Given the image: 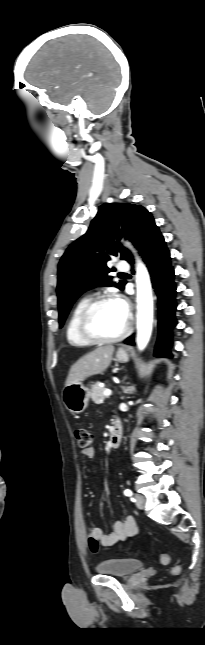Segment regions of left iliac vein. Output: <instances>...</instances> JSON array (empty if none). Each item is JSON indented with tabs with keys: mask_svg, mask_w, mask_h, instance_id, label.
I'll list each match as a JSON object with an SVG mask.
<instances>
[{
	"mask_svg": "<svg viewBox=\"0 0 205 645\" xmlns=\"http://www.w3.org/2000/svg\"><path fill=\"white\" fill-rule=\"evenodd\" d=\"M145 502H146V500H145V498L143 496H141V495H136L135 496V503H136V506L139 509H144Z\"/></svg>",
	"mask_w": 205,
	"mask_h": 645,
	"instance_id": "left-iliac-vein-1",
	"label": "left iliac vein"
}]
</instances>
